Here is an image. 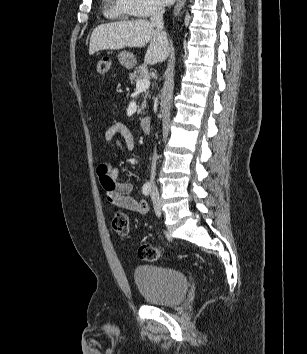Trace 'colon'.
<instances>
[{
    "label": "colon",
    "mask_w": 307,
    "mask_h": 354,
    "mask_svg": "<svg viewBox=\"0 0 307 354\" xmlns=\"http://www.w3.org/2000/svg\"><path fill=\"white\" fill-rule=\"evenodd\" d=\"M95 69L100 76H106L110 70V60L107 57L98 59L95 62ZM112 226L118 235L127 236L130 230L128 215L124 211H117ZM138 257L143 261L157 262L162 258V252L150 244H142L138 248Z\"/></svg>",
    "instance_id": "obj_1"
}]
</instances>
